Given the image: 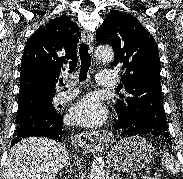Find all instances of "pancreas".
<instances>
[{
	"label": "pancreas",
	"instance_id": "obj_1",
	"mask_svg": "<svg viewBox=\"0 0 183 179\" xmlns=\"http://www.w3.org/2000/svg\"><path fill=\"white\" fill-rule=\"evenodd\" d=\"M147 179H160V176L159 175H155V176L149 177Z\"/></svg>",
	"mask_w": 183,
	"mask_h": 179
}]
</instances>
